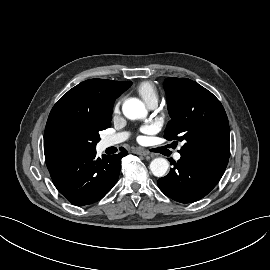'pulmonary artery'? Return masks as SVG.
<instances>
[{"label": "pulmonary artery", "mask_w": 270, "mask_h": 270, "mask_svg": "<svg viewBox=\"0 0 270 270\" xmlns=\"http://www.w3.org/2000/svg\"><path fill=\"white\" fill-rule=\"evenodd\" d=\"M158 101L153 100L148 104V107L150 109H154L157 106ZM128 137V134L125 132L119 133V134H115V135H111V136H107L104 140H103V146L104 147H110V146H114L117 144L122 143L123 141H125ZM181 155L180 153H176L174 155V158L176 160L180 159Z\"/></svg>", "instance_id": "pulmonary-artery-1"}]
</instances>
